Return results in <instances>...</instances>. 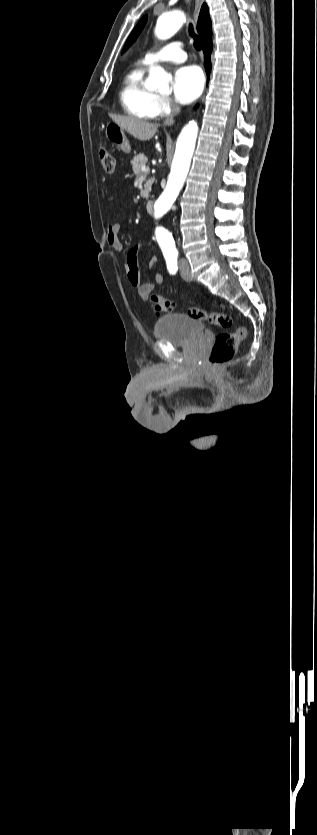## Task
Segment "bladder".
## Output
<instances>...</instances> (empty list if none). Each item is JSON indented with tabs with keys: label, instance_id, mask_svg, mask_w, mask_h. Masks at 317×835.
<instances>
[{
	"label": "bladder",
	"instance_id": "31cf9c89",
	"mask_svg": "<svg viewBox=\"0 0 317 835\" xmlns=\"http://www.w3.org/2000/svg\"><path fill=\"white\" fill-rule=\"evenodd\" d=\"M204 324L189 315L171 313L160 317L154 326L156 338L164 339L176 346H186L202 338Z\"/></svg>",
	"mask_w": 317,
	"mask_h": 835
}]
</instances>
